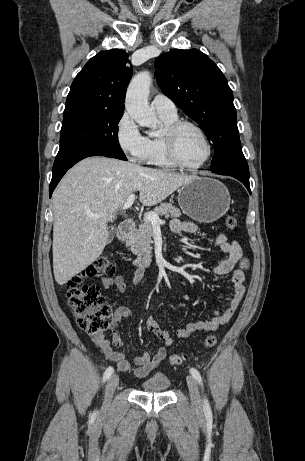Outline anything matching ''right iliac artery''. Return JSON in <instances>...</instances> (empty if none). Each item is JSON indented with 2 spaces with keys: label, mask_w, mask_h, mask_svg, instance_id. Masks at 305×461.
Segmentation results:
<instances>
[{
  "label": "right iliac artery",
  "mask_w": 305,
  "mask_h": 461,
  "mask_svg": "<svg viewBox=\"0 0 305 461\" xmlns=\"http://www.w3.org/2000/svg\"><path fill=\"white\" fill-rule=\"evenodd\" d=\"M113 372H114L113 367L109 366L104 372L103 381H106L107 379H109V377L112 375Z\"/></svg>",
  "instance_id": "82829eb1"
}]
</instances>
